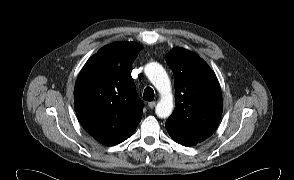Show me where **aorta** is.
Returning a JSON list of instances; mask_svg holds the SVG:
<instances>
[{"label":"aorta","mask_w":294,"mask_h":180,"mask_svg":"<svg viewBox=\"0 0 294 180\" xmlns=\"http://www.w3.org/2000/svg\"><path fill=\"white\" fill-rule=\"evenodd\" d=\"M145 74L161 95L155 108L156 115L159 118H168L173 111V96L170 79L165 69L161 64L151 62L146 65Z\"/></svg>","instance_id":"1"}]
</instances>
